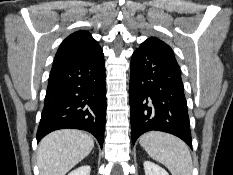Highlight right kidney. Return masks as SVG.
<instances>
[{"mask_svg":"<svg viewBox=\"0 0 233 175\" xmlns=\"http://www.w3.org/2000/svg\"><path fill=\"white\" fill-rule=\"evenodd\" d=\"M90 172H91L90 166L86 165L73 170L68 175H90Z\"/></svg>","mask_w":233,"mask_h":175,"instance_id":"right-kidney-1","label":"right kidney"}]
</instances>
